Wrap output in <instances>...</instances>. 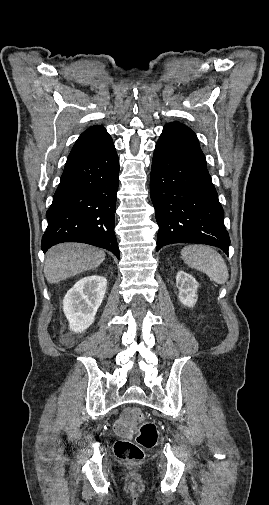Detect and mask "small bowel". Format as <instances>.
<instances>
[{
	"mask_svg": "<svg viewBox=\"0 0 269 505\" xmlns=\"http://www.w3.org/2000/svg\"><path fill=\"white\" fill-rule=\"evenodd\" d=\"M131 412L132 409L125 410L121 418L114 424L115 431L120 436L129 437L136 431L135 423L131 420Z\"/></svg>",
	"mask_w": 269,
	"mask_h": 505,
	"instance_id": "obj_1",
	"label": "small bowel"
}]
</instances>
